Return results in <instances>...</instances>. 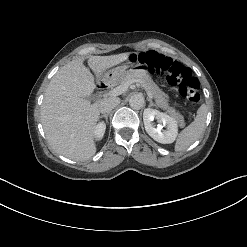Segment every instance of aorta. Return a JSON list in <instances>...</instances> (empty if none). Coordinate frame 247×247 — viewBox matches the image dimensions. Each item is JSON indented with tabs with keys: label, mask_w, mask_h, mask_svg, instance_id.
<instances>
[{
	"label": "aorta",
	"mask_w": 247,
	"mask_h": 247,
	"mask_svg": "<svg viewBox=\"0 0 247 247\" xmlns=\"http://www.w3.org/2000/svg\"><path fill=\"white\" fill-rule=\"evenodd\" d=\"M129 105L132 109H141L144 106V97L141 94L132 95L129 99Z\"/></svg>",
	"instance_id": "obj_1"
}]
</instances>
